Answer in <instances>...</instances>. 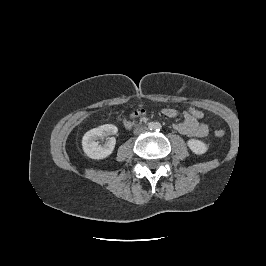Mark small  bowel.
Wrapping results in <instances>:
<instances>
[{
  "instance_id": "c3829d8e",
  "label": "small bowel",
  "mask_w": 266,
  "mask_h": 266,
  "mask_svg": "<svg viewBox=\"0 0 266 266\" xmlns=\"http://www.w3.org/2000/svg\"><path fill=\"white\" fill-rule=\"evenodd\" d=\"M162 113L169 118H176L179 112L175 108L167 107L162 109ZM145 114L141 108L136 109L132 116L140 117ZM184 121L174 125V129L182 135L188 137H204L208 134L207 124L193 118L187 111L183 113Z\"/></svg>"
}]
</instances>
